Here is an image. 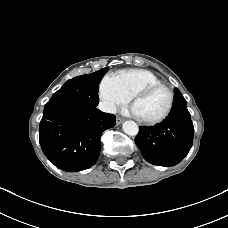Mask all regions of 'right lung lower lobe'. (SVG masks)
<instances>
[{
	"label": "right lung lower lobe",
	"mask_w": 228,
	"mask_h": 228,
	"mask_svg": "<svg viewBox=\"0 0 228 228\" xmlns=\"http://www.w3.org/2000/svg\"><path fill=\"white\" fill-rule=\"evenodd\" d=\"M115 125V116L95 108L48 102L40 122L39 141L45 156L59 169L85 170L100 153V137Z\"/></svg>",
	"instance_id": "right-lung-lower-lobe-1"
}]
</instances>
